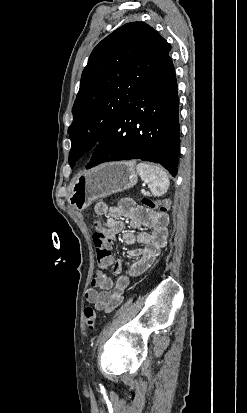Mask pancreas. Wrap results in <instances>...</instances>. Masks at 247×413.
<instances>
[{
    "label": "pancreas",
    "instance_id": "pancreas-1",
    "mask_svg": "<svg viewBox=\"0 0 247 413\" xmlns=\"http://www.w3.org/2000/svg\"><path fill=\"white\" fill-rule=\"evenodd\" d=\"M145 194H147V196H150V192H145Z\"/></svg>",
    "mask_w": 247,
    "mask_h": 413
}]
</instances>
